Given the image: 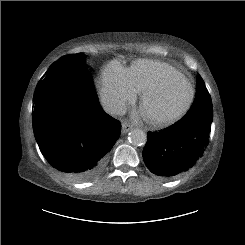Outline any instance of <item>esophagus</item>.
Instances as JSON below:
<instances>
[{
	"label": "esophagus",
	"instance_id": "obj_1",
	"mask_svg": "<svg viewBox=\"0 0 245 245\" xmlns=\"http://www.w3.org/2000/svg\"><path fill=\"white\" fill-rule=\"evenodd\" d=\"M132 129V125L126 123V122H122V133L126 134L128 131H130Z\"/></svg>",
	"mask_w": 245,
	"mask_h": 245
}]
</instances>
